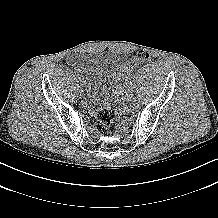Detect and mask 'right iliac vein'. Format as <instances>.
I'll use <instances>...</instances> for the list:
<instances>
[{
  "instance_id": "obj_1",
  "label": "right iliac vein",
  "mask_w": 218,
  "mask_h": 218,
  "mask_svg": "<svg viewBox=\"0 0 218 218\" xmlns=\"http://www.w3.org/2000/svg\"><path fill=\"white\" fill-rule=\"evenodd\" d=\"M79 80H80V87H81V85H82V84H81V79L79 78Z\"/></svg>"
}]
</instances>
